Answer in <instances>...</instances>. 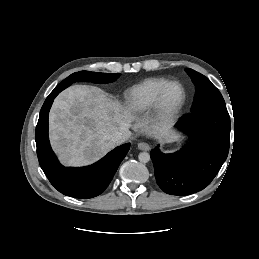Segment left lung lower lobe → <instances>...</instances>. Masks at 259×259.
Masks as SVG:
<instances>
[{
    "mask_svg": "<svg viewBox=\"0 0 259 259\" xmlns=\"http://www.w3.org/2000/svg\"><path fill=\"white\" fill-rule=\"evenodd\" d=\"M176 127L190 142L181 150L164 154L151 150L159 187L171 195H189L211 183L225 162L230 143V117L226 107L205 108L182 117Z\"/></svg>",
    "mask_w": 259,
    "mask_h": 259,
    "instance_id": "left-lung-lower-lobe-1",
    "label": "left lung lower lobe"
}]
</instances>
